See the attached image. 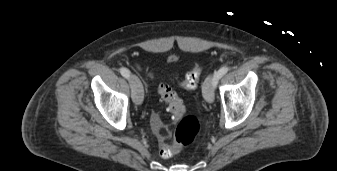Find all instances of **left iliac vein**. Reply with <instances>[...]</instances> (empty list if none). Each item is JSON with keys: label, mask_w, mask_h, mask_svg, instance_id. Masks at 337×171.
<instances>
[{"label": "left iliac vein", "mask_w": 337, "mask_h": 171, "mask_svg": "<svg viewBox=\"0 0 337 171\" xmlns=\"http://www.w3.org/2000/svg\"><path fill=\"white\" fill-rule=\"evenodd\" d=\"M216 84V79L214 78V75H209L203 84V96L205 100L208 103H213L214 102V88Z\"/></svg>", "instance_id": "left-iliac-vein-1"}]
</instances>
